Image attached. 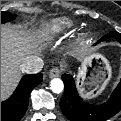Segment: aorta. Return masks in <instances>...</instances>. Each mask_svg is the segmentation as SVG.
I'll list each match as a JSON object with an SVG mask.
<instances>
[{"label": "aorta", "mask_w": 121, "mask_h": 121, "mask_svg": "<svg viewBox=\"0 0 121 121\" xmlns=\"http://www.w3.org/2000/svg\"><path fill=\"white\" fill-rule=\"evenodd\" d=\"M50 88L54 93H61L64 89L63 81L59 78H54L50 82Z\"/></svg>", "instance_id": "762f6f07"}]
</instances>
